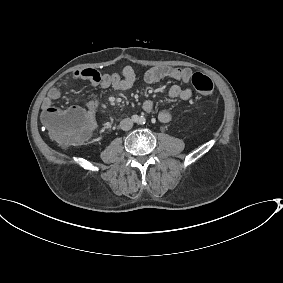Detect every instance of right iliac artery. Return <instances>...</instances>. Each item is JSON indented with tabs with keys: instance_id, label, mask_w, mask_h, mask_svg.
I'll return each mask as SVG.
<instances>
[{
	"instance_id": "82829eb1",
	"label": "right iliac artery",
	"mask_w": 283,
	"mask_h": 283,
	"mask_svg": "<svg viewBox=\"0 0 283 283\" xmlns=\"http://www.w3.org/2000/svg\"><path fill=\"white\" fill-rule=\"evenodd\" d=\"M132 119H133L134 121H137V120H138V116H137V115H133V116H132Z\"/></svg>"
}]
</instances>
